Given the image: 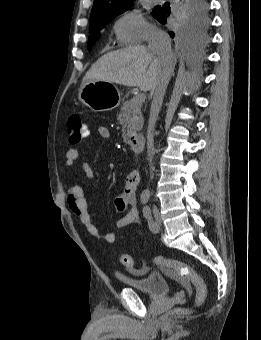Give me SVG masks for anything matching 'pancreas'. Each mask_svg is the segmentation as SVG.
I'll use <instances>...</instances> for the list:
<instances>
[{
	"mask_svg": "<svg viewBox=\"0 0 261 340\" xmlns=\"http://www.w3.org/2000/svg\"><path fill=\"white\" fill-rule=\"evenodd\" d=\"M118 120L122 125L124 142H128L132 135L142 129L144 120L141 114V107L133 105L132 100L124 102L118 114Z\"/></svg>",
	"mask_w": 261,
	"mask_h": 340,
	"instance_id": "pancreas-1",
	"label": "pancreas"
}]
</instances>
